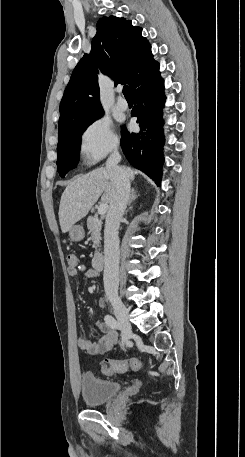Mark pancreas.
<instances>
[{
    "label": "pancreas",
    "mask_w": 245,
    "mask_h": 457,
    "mask_svg": "<svg viewBox=\"0 0 245 457\" xmlns=\"http://www.w3.org/2000/svg\"><path fill=\"white\" fill-rule=\"evenodd\" d=\"M101 220L98 218V214H94V216H88L87 218V229H89L91 233V239L93 241V249H96L95 253H98L99 245H100V231H101Z\"/></svg>",
    "instance_id": "cf45deb5"
}]
</instances>
